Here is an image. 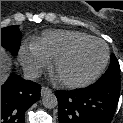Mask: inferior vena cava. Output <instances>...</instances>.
<instances>
[{
    "label": "inferior vena cava",
    "instance_id": "inferior-vena-cava-1",
    "mask_svg": "<svg viewBox=\"0 0 123 123\" xmlns=\"http://www.w3.org/2000/svg\"><path fill=\"white\" fill-rule=\"evenodd\" d=\"M23 76L26 80H35L41 76V71L37 68H25Z\"/></svg>",
    "mask_w": 123,
    "mask_h": 123
}]
</instances>
